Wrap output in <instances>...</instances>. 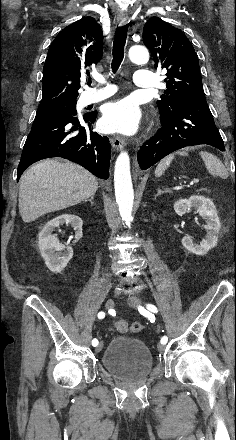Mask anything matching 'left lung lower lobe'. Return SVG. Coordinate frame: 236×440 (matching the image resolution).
I'll return each instance as SVG.
<instances>
[{
	"label": "left lung lower lobe",
	"instance_id": "left-lung-lower-lobe-1",
	"mask_svg": "<svg viewBox=\"0 0 236 440\" xmlns=\"http://www.w3.org/2000/svg\"><path fill=\"white\" fill-rule=\"evenodd\" d=\"M160 119L162 127L137 153L142 170L171 152L190 145L208 144L225 151L205 96L184 100L170 116Z\"/></svg>",
	"mask_w": 236,
	"mask_h": 440
}]
</instances>
